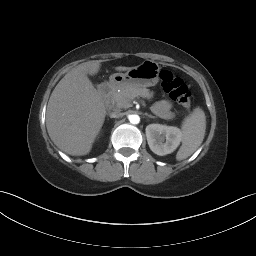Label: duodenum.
<instances>
[{"instance_id": "410a0bca", "label": "duodenum", "mask_w": 256, "mask_h": 256, "mask_svg": "<svg viewBox=\"0 0 256 256\" xmlns=\"http://www.w3.org/2000/svg\"><path fill=\"white\" fill-rule=\"evenodd\" d=\"M114 85L112 83H103L99 87V94L103 99H106L110 96L111 92L113 91Z\"/></svg>"}]
</instances>
